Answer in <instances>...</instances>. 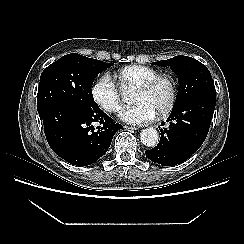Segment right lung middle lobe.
Instances as JSON below:
<instances>
[{
    "label": "right lung middle lobe",
    "instance_id": "dd1d6c3e",
    "mask_svg": "<svg viewBox=\"0 0 244 244\" xmlns=\"http://www.w3.org/2000/svg\"><path fill=\"white\" fill-rule=\"evenodd\" d=\"M113 64L88 58L76 53L68 54L49 65L41 74L37 95V110L63 102L84 106H97L91 87L98 73Z\"/></svg>",
    "mask_w": 244,
    "mask_h": 244
}]
</instances>
